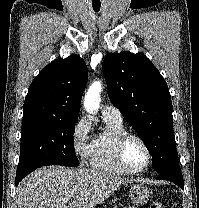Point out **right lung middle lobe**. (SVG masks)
I'll return each mask as SVG.
<instances>
[{
  "instance_id": "obj_1",
  "label": "right lung middle lobe",
  "mask_w": 199,
  "mask_h": 208,
  "mask_svg": "<svg viewBox=\"0 0 199 208\" xmlns=\"http://www.w3.org/2000/svg\"><path fill=\"white\" fill-rule=\"evenodd\" d=\"M76 119L41 114L23 116L16 175H27L46 165L78 166L73 141Z\"/></svg>"
}]
</instances>
